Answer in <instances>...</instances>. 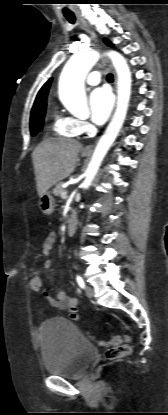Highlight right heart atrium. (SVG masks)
<instances>
[{
  "label": "right heart atrium",
  "mask_w": 168,
  "mask_h": 415,
  "mask_svg": "<svg viewBox=\"0 0 168 415\" xmlns=\"http://www.w3.org/2000/svg\"><path fill=\"white\" fill-rule=\"evenodd\" d=\"M78 129L80 133L89 131L90 125L86 121H78Z\"/></svg>",
  "instance_id": "d8ad5b80"
}]
</instances>
